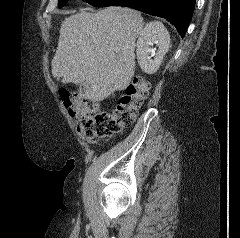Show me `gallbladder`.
Returning <instances> with one entry per match:
<instances>
[{"mask_svg": "<svg viewBox=\"0 0 240 238\" xmlns=\"http://www.w3.org/2000/svg\"><path fill=\"white\" fill-rule=\"evenodd\" d=\"M84 84H80V86H79V93H80V95L84 92Z\"/></svg>", "mask_w": 240, "mask_h": 238, "instance_id": "gallbladder-1", "label": "gallbladder"}]
</instances>
